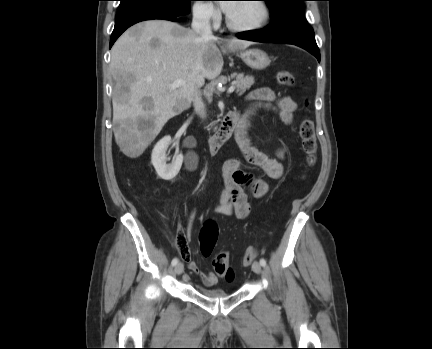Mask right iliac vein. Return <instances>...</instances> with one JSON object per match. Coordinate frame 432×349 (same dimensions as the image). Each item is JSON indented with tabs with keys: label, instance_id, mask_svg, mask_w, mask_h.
I'll use <instances>...</instances> for the list:
<instances>
[{
	"label": "right iliac vein",
	"instance_id": "obj_1",
	"mask_svg": "<svg viewBox=\"0 0 432 349\" xmlns=\"http://www.w3.org/2000/svg\"><path fill=\"white\" fill-rule=\"evenodd\" d=\"M183 271H184V265H183L182 263H178V264L175 266V274H176V275H180V274L183 273Z\"/></svg>",
	"mask_w": 432,
	"mask_h": 349
}]
</instances>
